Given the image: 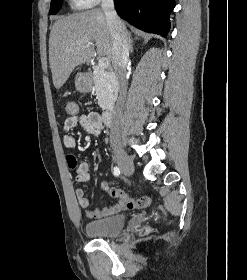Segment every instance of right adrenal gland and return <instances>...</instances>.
Instances as JSON below:
<instances>
[{"label": "right adrenal gland", "mask_w": 247, "mask_h": 280, "mask_svg": "<svg viewBox=\"0 0 247 280\" xmlns=\"http://www.w3.org/2000/svg\"><path fill=\"white\" fill-rule=\"evenodd\" d=\"M132 39H131V34L129 33V52H133V45H132Z\"/></svg>", "instance_id": "1"}]
</instances>
